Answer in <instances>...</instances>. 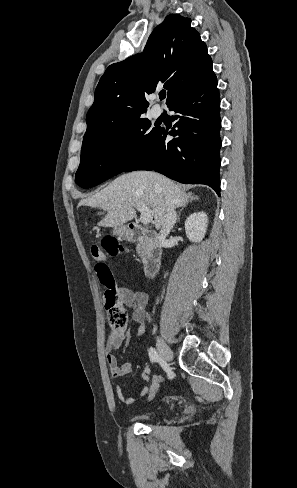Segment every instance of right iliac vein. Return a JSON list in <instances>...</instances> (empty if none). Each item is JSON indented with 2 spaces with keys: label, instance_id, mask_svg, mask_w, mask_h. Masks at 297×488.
I'll use <instances>...</instances> for the list:
<instances>
[{
  "label": "right iliac vein",
  "instance_id": "63e3f726",
  "mask_svg": "<svg viewBox=\"0 0 297 488\" xmlns=\"http://www.w3.org/2000/svg\"><path fill=\"white\" fill-rule=\"evenodd\" d=\"M156 346L160 354V357L165 362L170 364V362L173 360V353L161 337L157 338Z\"/></svg>",
  "mask_w": 297,
  "mask_h": 488
}]
</instances>
